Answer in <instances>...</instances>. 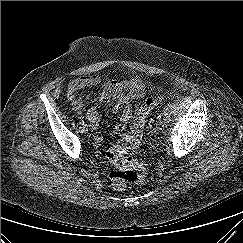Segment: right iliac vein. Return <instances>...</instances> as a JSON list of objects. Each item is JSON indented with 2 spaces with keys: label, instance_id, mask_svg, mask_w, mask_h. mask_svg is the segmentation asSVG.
Instances as JSON below:
<instances>
[{
  "label": "right iliac vein",
  "instance_id": "63e3f726",
  "mask_svg": "<svg viewBox=\"0 0 243 243\" xmlns=\"http://www.w3.org/2000/svg\"><path fill=\"white\" fill-rule=\"evenodd\" d=\"M80 132H81V133H87V132H88V128H87V126H86V125H82V126L80 127Z\"/></svg>",
  "mask_w": 243,
  "mask_h": 243
}]
</instances>
